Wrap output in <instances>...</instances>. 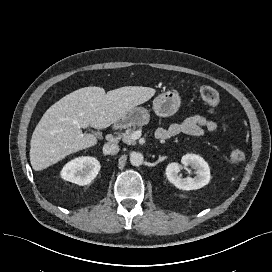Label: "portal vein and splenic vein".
Masks as SVG:
<instances>
[{
	"mask_svg": "<svg viewBox=\"0 0 272 272\" xmlns=\"http://www.w3.org/2000/svg\"><path fill=\"white\" fill-rule=\"evenodd\" d=\"M140 137V132L139 131H135L132 135L131 138L133 140L138 139Z\"/></svg>",
	"mask_w": 272,
	"mask_h": 272,
	"instance_id": "obj_1",
	"label": "portal vein and splenic vein"
}]
</instances>
